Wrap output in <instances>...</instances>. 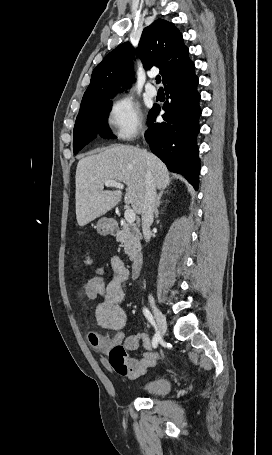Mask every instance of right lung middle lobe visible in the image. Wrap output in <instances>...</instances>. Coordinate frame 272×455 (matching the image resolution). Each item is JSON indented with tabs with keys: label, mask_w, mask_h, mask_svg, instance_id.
I'll list each match as a JSON object with an SVG mask.
<instances>
[{
	"label": "right lung middle lobe",
	"mask_w": 272,
	"mask_h": 455,
	"mask_svg": "<svg viewBox=\"0 0 272 455\" xmlns=\"http://www.w3.org/2000/svg\"><path fill=\"white\" fill-rule=\"evenodd\" d=\"M110 110L111 102L108 101L90 110L79 112L73 132L74 154H77L86 144L97 136L106 139L115 138L107 124Z\"/></svg>",
	"instance_id": "right-lung-middle-lobe-1"
}]
</instances>
